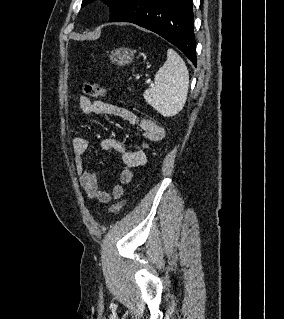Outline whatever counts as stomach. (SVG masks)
<instances>
[{"label":"stomach","instance_id":"0dacf381","mask_svg":"<svg viewBox=\"0 0 284 319\" xmlns=\"http://www.w3.org/2000/svg\"><path fill=\"white\" fill-rule=\"evenodd\" d=\"M135 51L129 48H118L109 53V58L112 63L117 65H126L133 61Z\"/></svg>","mask_w":284,"mask_h":319}]
</instances>
